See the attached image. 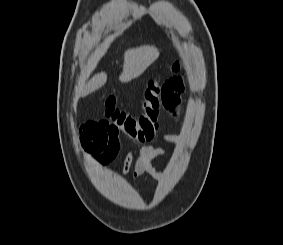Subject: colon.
<instances>
[{"mask_svg":"<svg viewBox=\"0 0 283 245\" xmlns=\"http://www.w3.org/2000/svg\"><path fill=\"white\" fill-rule=\"evenodd\" d=\"M179 69L178 61H174L170 66L172 72H177ZM162 83L161 79L148 82L144 91L142 113L139 116H133L116 108L115 97H108L104 112L106 121L129 140L139 143L154 140L159 131L158 118L162 107Z\"/></svg>","mask_w":283,"mask_h":245,"instance_id":"obj_1","label":"colon"}]
</instances>
